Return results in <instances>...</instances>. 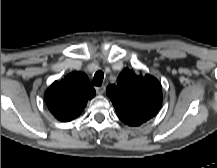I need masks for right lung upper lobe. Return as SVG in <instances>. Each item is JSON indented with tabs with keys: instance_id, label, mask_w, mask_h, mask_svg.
<instances>
[{
	"instance_id": "right-lung-upper-lobe-1",
	"label": "right lung upper lobe",
	"mask_w": 217,
	"mask_h": 168,
	"mask_svg": "<svg viewBox=\"0 0 217 168\" xmlns=\"http://www.w3.org/2000/svg\"><path fill=\"white\" fill-rule=\"evenodd\" d=\"M94 96L95 89L86 74L75 71L53 82L46 90L45 100L58 120L68 122L77 118Z\"/></svg>"
}]
</instances>
